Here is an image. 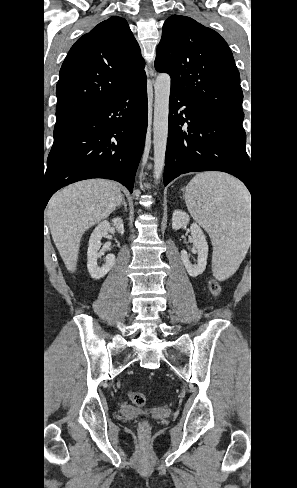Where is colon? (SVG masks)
I'll return each instance as SVG.
<instances>
[{
    "mask_svg": "<svg viewBox=\"0 0 297 488\" xmlns=\"http://www.w3.org/2000/svg\"><path fill=\"white\" fill-rule=\"evenodd\" d=\"M209 289L214 296H219L221 293V286L215 279H211L209 281ZM128 396L136 406H143L146 404V397L140 392H137L135 390H129ZM149 430V423L147 421L142 422V424L140 425V431L143 434H146L149 432Z\"/></svg>",
    "mask_w": 297,
    "mask_h": 488,
    "instance_id": "1",
    "label": "colon"
}]
</instances>
